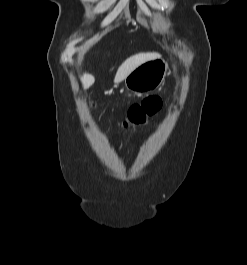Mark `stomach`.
Masks as SVG:
<instances>
[{
    "instance_id": "obj_1",
    "label": "stomach",
    "mask_w": 247,
    "mask_h": 265,
    "mask_svg": "<svg viewBox=\"0 0 247 265\" xmlns=\"http://www.w3.org/2000/svg\"><path fill=\"white\" fill-rule=\"evenodd\" d=\"M167 69L168 65L162 58L147 61L125 78V86L134 93H150L164 82Z\"/></svg>"
}]
</instances>
